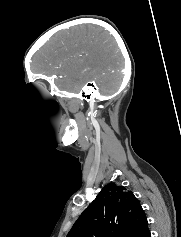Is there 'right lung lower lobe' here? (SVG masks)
<instances>
[{
    "label": "right lung lower lobe",
    "mask_w": 181,
    "mask_h": 237,
    "mask_svg": "<svg viewBox=\"0 0 181 237\" xmlns=\"http://www.w3.org/2000/svg\"><path fill=\"white\" fill-rule=\"evenodd\" d=\"M146 237H151V234H150V232L146 235Z\"/></svg>",
    "instance_id": "1"
}]
</instances>
